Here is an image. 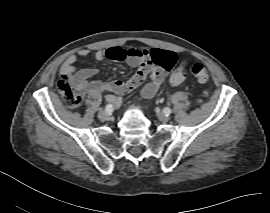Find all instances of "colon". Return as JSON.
<instances>
[{"label":"colon","instance_id":"obj_1","mask_svg":"<svg viewBox=\"0 0 270 213\" xmlns=\"http://www.w3.org/2000/svg\"><path fill=\"white\" fill-rule=\"evenodd\" d=\"M113 58L117 61H123L128 57L144 56L152 63L159 65L170 71V82L173 85L182 83L185 79V69L182 62L177 64V60L170 52L155 50L153 52L145 49L130 48L127 50L116 49L112 54ZM140 73L143 76L148 75L149 70L146 66L140 69ZM192 74L194 78L200 83H207L209 80V71L201 63H196L192 66ZM57 88L64 97L66 104L70 108H78L82 105V98L76 95L64 82L57 83ZM210 90L205 89L202 92V98L197 102L198 105L203 103V100L209 97Z\"/></svg>","mask_w":270,"mask_h":213}]
</instances>
